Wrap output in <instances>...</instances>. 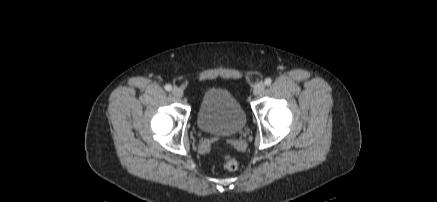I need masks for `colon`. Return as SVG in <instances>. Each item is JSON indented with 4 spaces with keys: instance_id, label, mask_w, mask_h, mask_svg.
Returning <instances> with one entry per match:
<instances>
[{
    "instance_id": "obj_1",
    "label": "colon",
    "mask_w": 437,
    "mask_h": 202,
    "mask_svg": "<svg viewBox=\"0 0 437 202\" xmlns=\"http://www.w3.org/2000/svg\"><path fill=\"white\" fill-rule=\"evenodd\" d=\"M222 160H223L224 166L228 170L234 171L239 166V163H238L237 159L234 156H232V155H230L228 153H223L222 154Z\"/></svg>"
}]
</instances>
